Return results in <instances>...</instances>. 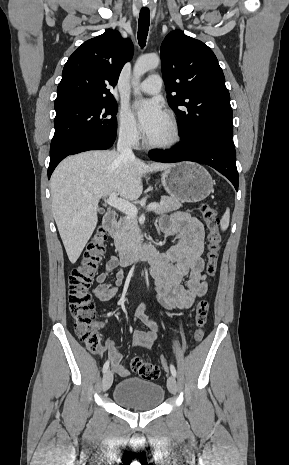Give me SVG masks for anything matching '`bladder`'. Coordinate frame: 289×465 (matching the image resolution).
Wrapping results in <instances>:
<instances>
[{
	"instance_id": "obj_1",
	"label": "bladder",
	"mask_w": 289,
	"mask_h": 465,
	"mask_svg": "<svg viewBox=\"0 0 289 465\" xmlns=\"http://www.w3.org/2000/svg\"><path fill=\"white\" fill-rule=\"evenodd\" d=\"M165 391L160 384L131 377L119 381L113 399L120 406L133 410H152L161 405Z\"/></svg>"
}]
</instances>
